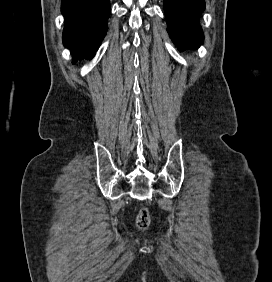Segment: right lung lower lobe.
<instances>
[{
	"label": "right lung lower lobe",
	"mask_w": 272,
	"mask_h": 282,
	"mask_svg": "<svg viewBox=\"0 0 272 282\" xmlns=\"http://www.w3.org/2000/svg\"><path fill=\"white\" fill-rule=\"evenodd\" d=\"M63 43L77 59L94 57L106 35L109 0H62Z\"/></svg>",
	"instance_id": "obj_1"
}]
</instances>
